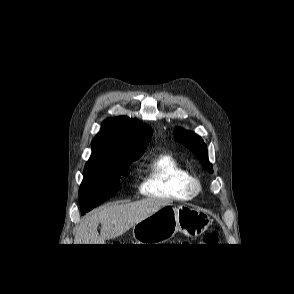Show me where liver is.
Listing matches in <instances>:
<instances>
[{
  "mask_svg": "<svg viewBox=\"0 0 294 294\" xmlns=\"http://www.w3.org/2000/svg\"><path fill=\"white\" fill-rule=\"evenodd\" d=\"M169 203L168 200L146 198L126 204L113 203L96 209L86 215L76 227L74 244H105L107 239L119 237ZM99 223L100 234L97 231Z\"/></svg>",
  "mask_w": 294,
  "mask_h": 294,
  "instance_id": "1",
  "label": "liver"
}]
</instances>
